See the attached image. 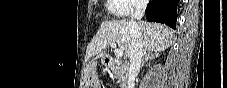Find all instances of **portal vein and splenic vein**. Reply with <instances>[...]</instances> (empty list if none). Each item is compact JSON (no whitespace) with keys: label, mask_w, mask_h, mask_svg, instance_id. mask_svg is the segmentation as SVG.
<instances>
[{"label":"portal vein and splenic vein","mask_w":227,"mask_h":88,"mask_svg":"<svg viewBox=\"0 0 227 88\" xmlns=\"http://www.w3.org/2000/svg\"><path fill=\"white\" fill-rule=\"evenodd\" d=\"M110 46L112 47V48H114L115 49V55L117 56V57H122L123 56V51L121 50V49H118L117 48V45H116V43H110Z\"/></svg>","instance_id":"portal-vein-and-splenic-vein-1"}]
</instances>
